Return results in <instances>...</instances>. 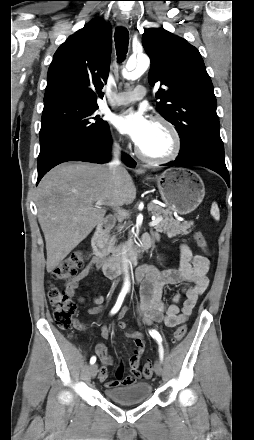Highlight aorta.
Wrapping results in <instances>:
<instances>
[{
	"instance_id": "1",
	"label": "aorta",
	"mask_w": 254,
	"mask_h": 440,
	"mask_svg": "<svg viewBox=\"0 0 254 440\" xmlns=\"http://www.w3.org/2000/svg\"><path fill=\"white\" fill-rule=\"evenodd\" d=\"M150 59L146 55H138L135 61L129 60L126 65V69L130 72L132 79H137L140 77L149 67ZM125 286H128V281H126Z\"/></svg>"
}]
</instances>
